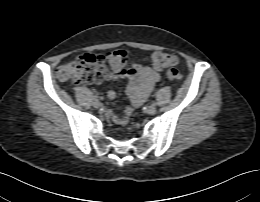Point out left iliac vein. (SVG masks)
<instances>
[{
  "label": "left iliac vein",
  "mask_w": 260,
  "mask_h": 202,
  "mask_svg": "<svg viewBox=\"0 0 260 202\" xmlns=\"http://www.w3.org/2000/svg\"><path fill=\"white\" fill-rule=\"evenodd\" d=\"M146 112L150 115H153L156 113V106L155 105H149L146 108Z\"/></svg>",
  "instance_id": "1"
}]
</instances>
